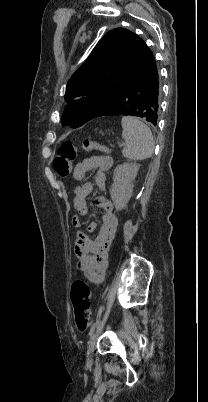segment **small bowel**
Returning <instances> with one entry per match:
<instances>
[{"instance_id": "c3829d8e", "label": "small bowel", "mask_w": 208, "mask_h": 402, "mask_svg": "<svg viewBox=\"0 0 208 402\" xmlns=\"http://www.w3.org/2000/svg\"><path fill=\"white\" fill-rule=\"evenodd\" d=\"M112 165V158L107 156H93L76 164L73 177L76 181L82 182L75 189L74 199V205L79 214L84 215L88 212L86 200L93 191V184L85 181L88 171L98 169L95 184L100 190H104L107 181L106 172ZM97 203L104 213L102 226L94 241H90L80 230L81 222L78 216H73L71 220L72 226L75 228V254L78 266L93 283H100L104 280L109 247L118 228V219L110 201L104 196H100ZM96 227V222L92 221L88 229L93 232Z\"/></svg>"}]
</instances>
